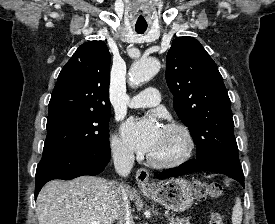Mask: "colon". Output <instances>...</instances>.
Returning <instances> with one entry per match:
<instances>
[{
	"mask_svg": "<svg viewBox=\"0 0 275 224\" xmlns=\"http://www.w3.org/2000/svg\"><path fill=\"white\" fill-rule=\"evenodd\" d=\"M194 193L197 200L207 198H219L222 195V188L218 183L205 180H198L194 183ZM210 224H224L220 213H213L210 217Z\"/></svg>",
	"mask_w": 275,
	"mask_h": 224,
	"instance_id": "obj_1",
	"label": "colon"
}]
</instances>
